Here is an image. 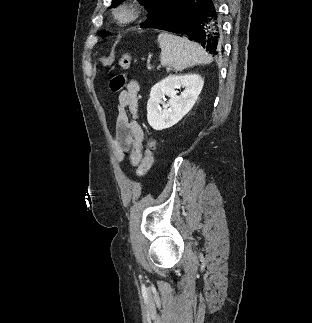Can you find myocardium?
<instances>
[{
    "mask_svg": "<svg viewBox=\"0 0 312 323\" xmlns=\"http://www.w3.org/2000/svg\"><path fill=\"white\" fill-rule=\"evenodd\" d=\"M124 10H113L111 15L116 17V19H120L119 23H124V25H131L132 20L137 21L140 15L143 13H147L151 5H147L146 3H124Z\"/></svg>",
    "mask_w": 312,
    "mask_h": 323,
    "instance_id": "obj_1",
    "label": "myocardium"
}]
</instances>
